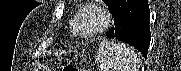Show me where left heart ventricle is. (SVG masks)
<instances>
[{"instance_id": "obj_1", "label": "left heart ventricle", "mask_w": 181, "mask_h": 71, "mask_svg": "<svg viewBox=\"0 0 181 71\" xmlns=\"http://www.w3.org/2000/svg\"><path fill=\"white\" fill-rule=\"evenodd\" d=\"M99 23L100 19L94 12H86L81 17L80 29L84 32H88L97 27Z\"/></svg>"}]
</instances>
